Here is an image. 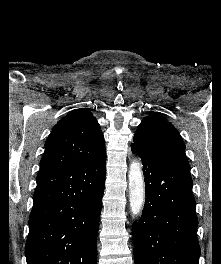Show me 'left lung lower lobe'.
Listing matches in <instances>:
<instances>
[{"mask_svg": "<svg viewBox=\"0 0 221 264\" xmlns=\"http://www.w3.org/2000/svg\"><path fill=\"white\" fill-rule=\"evenodd\" d=\"M146 201L134 226L135 264H199L198 219L190 169L145 155Z\"/></svg>", "mask_w": 221, "mask_h": 264, "instance_id": "left-lung-lower-lobe-1", "label": "left lung lower lobe"}]
</instances>
